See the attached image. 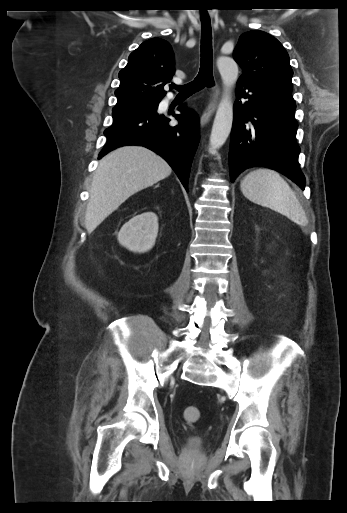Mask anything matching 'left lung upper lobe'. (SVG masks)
<instances>
[{
	"label": "left lung upper lobe",
	"mask_w": 347,
	"mask_h": 513,
	"mask_svg": "<svg viewBox=\"0 0 347 513\" xmlns=\"http://www.w3.org/2000/svg\"><path fill=\"white\" fill-rule=\"evenodd\" d=\"M234 59L242 68L240 80L292 86L293 71L288 53L276 38L263 31L243 33L234 51Z\"/></svg>",
	"instance_id": "1"
}]
</instances>
